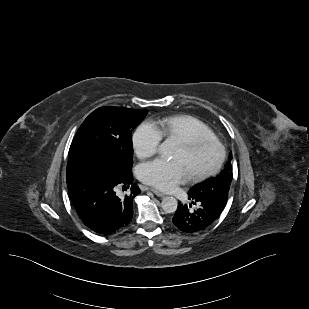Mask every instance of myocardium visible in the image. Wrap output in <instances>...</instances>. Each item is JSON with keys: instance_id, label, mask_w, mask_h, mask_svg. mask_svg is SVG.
Returning <instances> with one entry per match:
<instances>
[{"instance_id": "myocardium-1", "label": "myocardium", "mask_w": 309, "mask_h": 309, "mask_svg": "<svg viewBox=\"0 0 309 309\" xmlns=\"http://www.w3.org/2000/svg\"><path fill=\"white\" fill-rule=\"evenodd\" d=\"M180 142L189 152H196L206 146H213L217 151V156L213 165L205 171L190 175L191 180L193 181L205 180L215 175L220 170L225 159L226 150L223 143L219 139H217L216 137L199 136L184 139L181 140Z\"/></svg>"}]
</instances>
